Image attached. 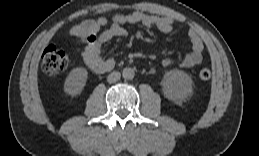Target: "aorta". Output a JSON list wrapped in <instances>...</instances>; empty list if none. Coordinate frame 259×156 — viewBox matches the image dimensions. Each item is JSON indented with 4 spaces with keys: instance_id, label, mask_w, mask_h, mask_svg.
I'll use <instances>...</instances> for the list:
<instances>
[{
    "instance_id": "1",
    "label": "aorta",
    "mask_w": 259,
    "mask_h": 156,
    "mask_svg": "<svg viewBox=\"0 0 259 156\" xmlns=\"http://www.w3.org/2000/svg\"><path fill=\"white\" fill-rule=\"evenodd\" d=\"M122 76L126 80H132L135 76V71L132 68H124L122 72Z\"/></svg>"
}]
</instances>
